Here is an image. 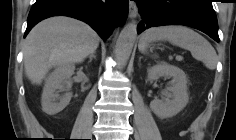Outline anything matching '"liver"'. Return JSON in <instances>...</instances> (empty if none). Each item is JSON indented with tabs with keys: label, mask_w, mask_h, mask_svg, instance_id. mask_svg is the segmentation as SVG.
Here are the masks:
<instances>
[{
	"label": "liver",
	"mask_w": 236,
	"mask_h": 140,
	"mask_svg": "<svg viewBox=\"0 0 236 140\" xmlns=\"http://www.w3.org/2000/svg\"><path fill=\"white\" fill-rule=\"evenodd\" d=\"M98 34L86 23L69 17H51L38 23L24 46V69L28 79L41 84L50 69L82 62L95 52Z\"/></svg>",
	"instance_id": "1"
}]
</instances>
